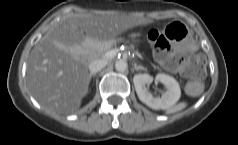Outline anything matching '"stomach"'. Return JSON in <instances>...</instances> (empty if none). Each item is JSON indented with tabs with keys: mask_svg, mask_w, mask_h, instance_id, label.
<instances>
[{
	"mask_svg": "<svg viewBox=\"0 0 238 145\" xmlns=\"http://www.w3.org/2000/svg\"><path fill=\"white\" fill-rule=\"evenodd\" d=\"M164 36L177 47L188 46L189 51H195L197 45L195 44L191 30L185 26L181 21H168L163 28Z\"/></svg>",
	"mask_w": 238,
	"mask_h": 145,
	"instance_id": "obj_1",
	"label": "stomach"
}]
</instances>
